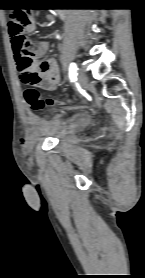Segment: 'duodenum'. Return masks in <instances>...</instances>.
<instances>
[{"label": "duodenum", "mask_w": 145, "mask_h": 278, "mask_svg": "<svg viewBox=\"0 0 145 278\" xmlns=\"http://www.w3.org/2000/svg\"><path fill=\"white\" fill-rule=\"evenodd\" d=\"M58 17H59V19H63L64 17H65V13H64V11H59L58 12Z\"/></svg>", "instance_id": "duodenum-1"}]
</instances>
